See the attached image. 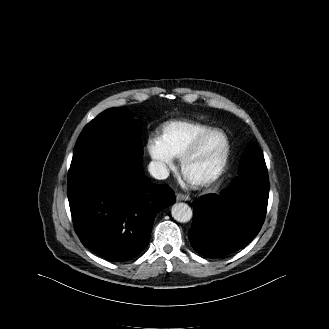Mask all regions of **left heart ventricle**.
I'll list each match as a JSON object with an SVG mask.
<instances>
[{
  "mask_svg": "<svg viewBox=\"0 0 329 329\" xmlns=\"http://www.w3.org/2000/svg\"><path fill=\"white\" fill-rule=\"evenodd\" d=\"M225 138L216 133L204 141L198 153L188 162L186 176L200 180L211 175L219 166L225 150Z\"/></svg>",
  "mask_w": 329,
  "mask_h": 329,
  "instance_id": "b2bd125f",
  "label": "left heart ventricle"
}]
</instances>
